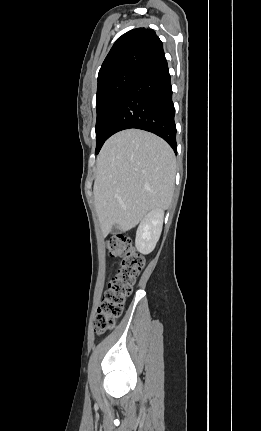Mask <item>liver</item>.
<instances>
[{"instance_id": "1", "label": "liver", "mask_w": 261, "mask_h": 431, "mask_svg": "<svg viewBox=\"0 0 261 431\" xmlns=\"http://www.w3.org/2000/svg\"><path fill=\"white\" fill-rule=\"evenodd\" d=\"M94 204L102 234L115 226L135 227L152 210H166L172 200L176 160L160 137L138 129L111 136L97 157Z\"/></svg>"}]
</instances>
